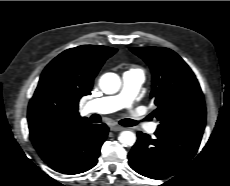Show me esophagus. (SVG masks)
<instances>
[{"mask_svg": "<svg viewBox=\"0 0 230 186\" xmlns=\"http://www.w3.org/2000/svg\"><path fill=\"white\" fill-rule=\"evenodd\" d=\"M125 129L123 126H120V125H116V124H112L110 125V130L111 131H121Z\"/></svg>", "mask_w": 230, "mask_h": 186, "instance_id": "34e87169", "label": "esophagus"}]
</instances>
